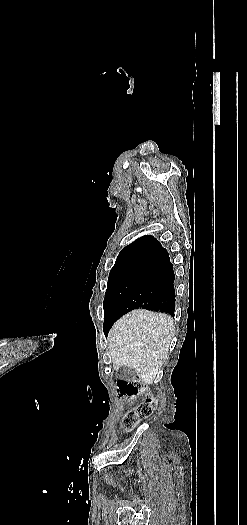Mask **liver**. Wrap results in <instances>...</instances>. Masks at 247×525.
Masks as SVG:
<instances>
[{
	"mask_svg": "<svg viewBox=\"0 0 247 525\" xmlns=\"http://www.w3.org/2000/svg\"><path fill=\"white\" fill-rule=\"evenodd\" d=\"M174 331V321L166 313L134 309L123 315L108 335L114 371L129 367L146 385H152L162 375Z\"/></svg>",
	"mask_w": 247,
	"mask_h": 525,
	"instance_id": "6515ba94",
	"label": "liver"
}]
</instances>
